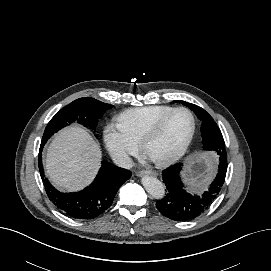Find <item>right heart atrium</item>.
Returning <instances> with one entry per match:
<instances>
[{
  "mask_svg": "<svg viewBox=\"0 0 271 271\" xmlns=\"http://www.w3.org/2000/svg\"><path fill=\"white\" fill-rule=\"evenodd\" d=\"M103 138L110 155L122 165L128 164L131 157L138 153L137 143L131 140L117 125H107Z\"/></svg>",
  "mask_w": 271,
  "mask_h": 271,
  "instance_id": "d8ad5b80",
  "label": "right heart atrium"
}]
</instances>
